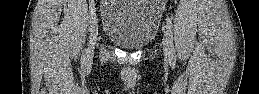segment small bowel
Wrapping results in <instances>:
<instances>
[{
	"label": "small bowel",
	"instance_id": "obj_1",
	"mask_svg": "<svg viewBox=\"0 0 259 94\" xmlns=\"http://www.w3.org/2000/svg\"><path fill=\"white\" fill-rule=\"evenodd\" d=\"M159 5H160V7H161V9H162V4L161 3H158Z\"/></svg>",
	"mask_w": 259,
	"mask_h": 94
}]
</instances>
